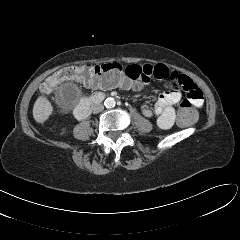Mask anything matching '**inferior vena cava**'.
I'll list each match as a JSON object with an SVG mask.
<instances>
[{
	"label": "inferior vena cava",
	"instance_id": "602c4592",
	"mask_svg": "<svg viewBox=\"0 0 240 240\" xmlns=\"http://www.w3.org/2000/svg\"><path fill=\"white\" fill-rule=\"evenodd\" d=\"M103 109H104V107H103V105H101V104H97V105H94V106L92 107V111H93V113H95V114L101 112Z\"/></svg>",
	"mask_w": 240,
	"mask_h": 240
}]
</instances>
